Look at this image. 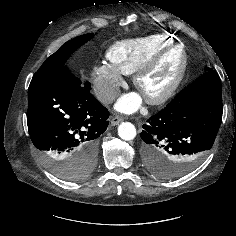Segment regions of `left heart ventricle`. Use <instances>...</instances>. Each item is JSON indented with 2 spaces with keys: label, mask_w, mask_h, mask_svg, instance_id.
Returning a JSON list of instances; mask_svg holds the SVG:
<instances>
[{
  "label": "left heart ventricle",
  "mask_w": 236,
  "mask_h": 236,
  "mask_svg": "<svg viewBox=\"0 0 236 236\" xmlns=\"http://www.w3.org/2000/svg\"><path fill=\"white\" fill-rule=\"evenodd\" d=\"M180 64V51L166 54L157 65L142 79L141 89L146 94H158L173 81Z\"/></svg>",
  "instance_id": "obj_1"
}]
</instances>
